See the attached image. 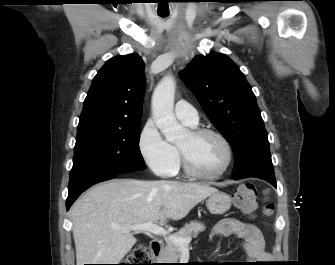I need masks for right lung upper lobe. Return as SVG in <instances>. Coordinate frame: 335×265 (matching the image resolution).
I'll use <instances>...</instances> for the list:
<instances>
[{
  "mask_svg": "<svg viewBox=\"0 0 335 265\" xmlns=\"http://www.w3.org/2000/svg\"><path fill=\"white\" fill-rule=\"evenodd\" d=\"M144 92L142 58L137 54L111 58L92 81L77 129L117 128L141 121Z\"/></svg>",
  "mask_w": 335,
  "mask_h": 265,
  "instance_id": "right-lung-upper-lobe-1",
  "label": "right lung upper lobe"
}]
</instances>
